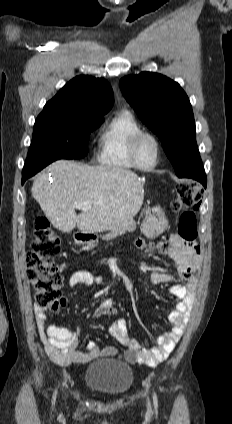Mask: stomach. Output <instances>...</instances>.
Masks as SVG:
<instances>
[{
    "instance_id": "obj_1",
    "label": "stomach",
    "mask_w": 232,
    "mask_h": 424,
    "mask_svg": "<svg viewBox=\"0 0 232 424\" xmlns=\"http://www.w3.org/2000/svg\"><path fill=\"white\" fill-rule=\"evenodd\" d=\"M168 221L164 211L160 207L151 209L142 223V232L144 235L153 239L158 237L167 228ZM80 243L91 245L94 242L93 238L78 239Z\"/></svg>"
}]
</instances>
